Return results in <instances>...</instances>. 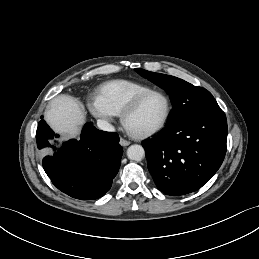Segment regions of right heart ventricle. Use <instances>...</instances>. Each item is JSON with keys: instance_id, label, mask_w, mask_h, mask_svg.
Returning <instances> with one entry per match:
<instances>
[{"instance_id": "right-heart-ventricle-1", "label": "right heart ventricle", "mask_w": 259, "mask_h": 259, "mask_svg": "<svg viewBox=\"0 0 259 259\" xmlns=\"http://www.w3.org/2000/svg\"><path fill=\"white\" fill-rule=\"evenodd\" d=\"M148 90L151 87L139 82L114 80L101 86L99 98L113 115L119 116L136 96Z\"/></svg>"}]
</instances>
